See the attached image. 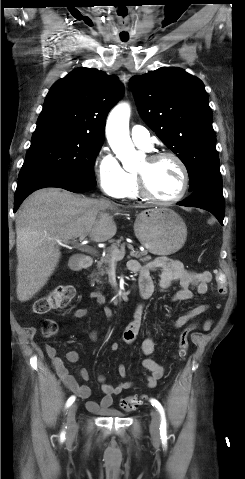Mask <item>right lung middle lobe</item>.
Returning <instances> with one entry per match:
<instances>
[{
	"label": "right lung middle lobe",
	"instance_id": "1",
	"mask_svg": "<svg viewBox=\"0 0 245 479\" xmlns=\"http://www.w3.org/2000/svg\"><path fill=\"white\" fill-rule=\"evenodd\" d=\"M102 141L61 128L36 129L18 180L54 173L96 185L94 163Z\"/></svg>",
	"mask_w": 245,
	"mask_h": 479
}]
</instances>
